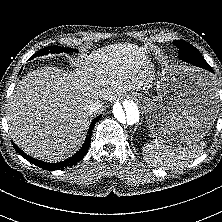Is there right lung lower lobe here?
<instances>
[{
	"label": "right lung lower lobe",
	"instance_id": "1",
	"mask_svg": "<svg viewBox=\"0 0 222 222\" xmlns=\"http://www.w3.org/2000/svg\"><path fill=\"white\" fill-rule=\"evenodd\" d=\"M32 59V57L30 58ZM29 59V60H30ZM101 118V115L97 116L92 123L90 124L89 130H88V134L86 136L85 142L82 145L81 149L72 157L68 158L67 160H64L62 162L59 163H47V162H43L37 159H34L30 156H28L27 154H25L22 150H20L13 142V146L14 149L22 156L24 157L26 160H28L30 163L45 169V170H56V169H63L66 168L68 166H72L76 163H78L87 153L89 146H90V142H91V133L93 130V127L95 125V123Z\"/></svg>",
	"mask_w": 222,
	"mask_h": 222
}]
</instances>
